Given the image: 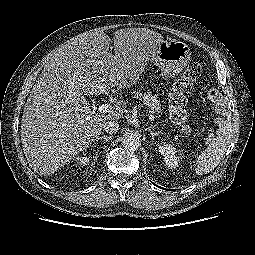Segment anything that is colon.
Returning <instances> with one entry per match:
<instances>
[{"label": "colon", "instance_id": "5ec220e1", "mask_svg": "<svg viewBox=\"0 0 255 255\" xmlns=\"http://www.w3.org/2000/svg\"><path fill=\"white\" fill-rule=\"evenodd\" d=\"M201 73V65L199 63H191L174 82L168 97L170 119L175 125L180 126L184 134H191L192 132L191 127L187 124L186 94L198 81ZM207 97L209 101L217 102L220 99V93L216 89H210Z\"/></svg>", "mask_w": 255, "mask_h": 255}]
</instances>
